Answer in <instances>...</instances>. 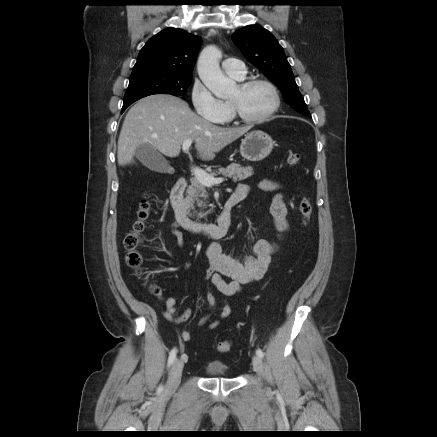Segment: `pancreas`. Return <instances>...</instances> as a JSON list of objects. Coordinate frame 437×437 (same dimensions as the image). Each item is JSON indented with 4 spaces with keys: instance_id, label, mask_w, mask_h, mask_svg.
<instances>
[{
    "instance_id": "1",
    "label": "pancreas",
    "mask_w": 437,
    "mask_h": 437,
    "mask_svg": "<svg viewBox=\"0 0 437 437\" xmlns=\"http://www.w3.org/2000/svg\"><path fill=\"white\" fill-rule=\"evenodd\" d=\"M221 174L225 177L232 178L234 182L245 180L253 175L252 167H242L240 164L231 163L226 168H219L218 171L210 173L211 176ZM208 199V193L203 184H201L196 178L191 180V185L187 189L186 202L190 209L195 210V204L199 208H206ZM196 213V211H195ZM206 213L199 212L198 217L203 218Z\"/></svg>"
}]
</instances>
